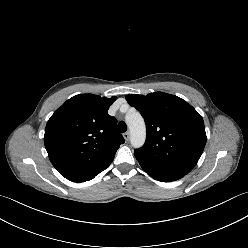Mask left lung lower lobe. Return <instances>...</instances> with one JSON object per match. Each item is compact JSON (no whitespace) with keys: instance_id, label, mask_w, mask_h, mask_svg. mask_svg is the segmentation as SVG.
<instances>
[{"instance_id":"1","label":"left lung lower lobe","mask_w":248,"mask_h":248,"mask_svg":"<svg viewBox=\"0 0 248 248\" xmlns=\"http://www.w3.org/2000/svg\"><path fill=\"white\" fill-rule=\"evenodd\" d=\"M141 167L151 177H153L154 179H156L158 181H162V182L175 181V180H178L184 176V174H181V173L162 171V170L154 169V168L143 166V165H141Z\"/></svg>"}]
</instances>
